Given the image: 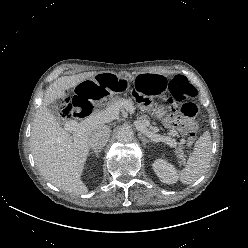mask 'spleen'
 <instances>
[{
	"label": "spleen",
	"instance_id": "obj_1",
	"mask_svg": "<svg viewBox=\"0 0 248 248\" xmlns=\"http://www.w3.org/2000/svg\"><path fill=\"white\" fill-rule=\"evenodd\" d=\"M212 158V141L209 131H205L196 141L194 150L188 158L185 168L179 172L183 184H192L208 169Z\"/></svg>",
	"mask_w": 248,
	"mask_h": 248
}]
</instances>
